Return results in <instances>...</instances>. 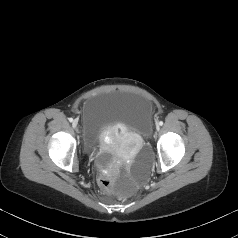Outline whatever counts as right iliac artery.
<instances>
[{"instance_id": "obj_1", "label": "right iliac artery", "mask_w": 238, "mask_h": 238, "mask_svg": "<svg viewBox=\"0 0 238 238\" xmlns=\"http://www.w3.org/2000/svg\"><path fill=\"white\" fill-rule=\"evenodd\" d=\"M69 121H70V122H73V118H69Z\"/></svg>"}]
</instances>
